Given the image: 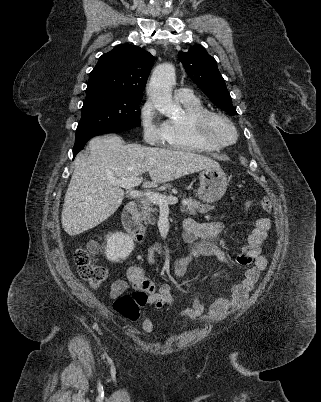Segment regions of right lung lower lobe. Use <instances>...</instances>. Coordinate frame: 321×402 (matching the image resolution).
<instances>
[{
	"mask_svg": "<svg viewBox=\"0 0 321 402\" xmlns=\"http://www.w3.org/2000/svg\"><path fill=\"white\" fill-rule=\"evenodd\" d=\"M130 128L128 127H108V128H101V129H95V130H89V131H84V132H77L76 133V139H75V145L73 148V158L76 156V154L81 151L86 144V142L91 139L94 136H98L104 133H113V132H119V131H125Z\"/></svg>",
	"mask_w": 321,
	"mask_h": 402,
	"instance_id": "obj_1",
	"label": "right lung lower lobe"
}]
</instances>
